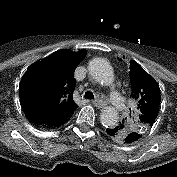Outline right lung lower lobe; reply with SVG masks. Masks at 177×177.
<instances>
[{
	"instance_id": "right-lung-lower-lobe-1",
	"label": "right lung lower lobe",
	"mask_w": 177,
	"mask_h": 177,
	"mask_svg": "<svg viewBox=\"0 0 177 177\" xmlns=\"http://www.w3.org/2000/svg\"><path fill=\"white\" fill-rule=\"evenodd\" d=\"M29 121L36 127L38 128H44V129H51L55 128V124H52L44 119H41L40 117L37 116H27Z\"/></svg>"
}]
</instances>
